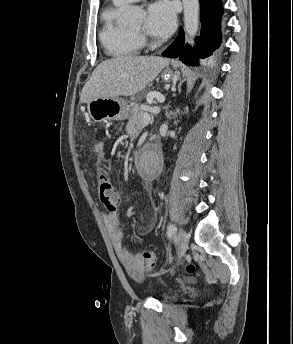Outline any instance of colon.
<instances>
[{
	"label": "colon",
	"instance_id": "obj_1",
	"mask_svg": "<svg viewBox=\"0 0 293 344\" xmlns=\"http://www.w3.org/2000/svg\"><path fill=\"white\" fill-rule=\"evenodd\" d=\"M97 191L102 203L108 210H115L117 208L119 197L113 185L107 178L98 180ZM142 261L145 266V270L151 271L155 266V254L152 251L145 250L142 253ZM186 271L189 274L195 273V265L192 263L187 264Z\"/></svg>",
	"mask_w": 293,
	"mask_h": 344
}]
</instances>
